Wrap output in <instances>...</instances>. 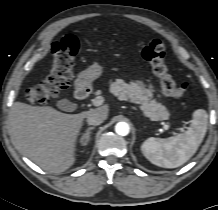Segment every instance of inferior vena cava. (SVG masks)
<instances>
[{"mask_svg":"<svg viewBox=\"0 0 218 210\" xmlns=\"http://www.w3.org/2000/svg\"><path fill=\"white\" fill-rule=\"evenodd\" d=\"M105 119L98 113H91L88 117H87V122L89 125H100Z\"/></svg>","mask_w":218,"mask_h":210,"instance_id":"602c4592","label":"inferior vena cava"}]
</instances>
